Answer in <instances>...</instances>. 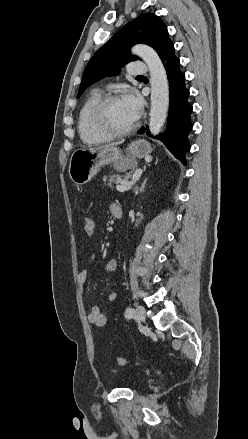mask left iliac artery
<instances>
[{
    "instance_id": "obj_1",
    "label": "left iliac artery",
    "mask_w": 248,
    "mask_h": 439,
    "mask_svg": "<svg viewBox=\"0 0 248 439\" xmlns=\"http://www.w3.org/2000/svg\"><path fill=\"white\" fill-rule=\"evenodd\" d=\"M134 314H135V311L131 307L127 308L125 311L126 318H132L134 316Z\"/></svg>"
}]
</instances>
